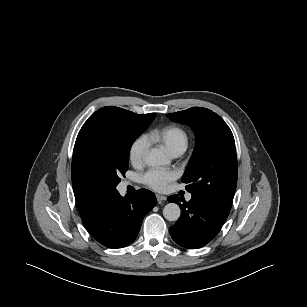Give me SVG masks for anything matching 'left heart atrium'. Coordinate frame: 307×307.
I'll return each mask as SVG.
<instances>
[{
    "label": "left heart atrium",
    "mask_w": 307,
    "mask_h": 307,
    "mask_svg": "<svg viewBox=\"0 0 307 307\" xmlns=\"http://www.w3.org/2000/svg\"><path fill=\"white\" fill-rule=\"evenodd\" d=\"M176 177L177 174L173 171L153 168L143 174L142 181L152 189L163 191Z\"/></svg>",
    "instance_id": "left-heart-atrium-1"
}]
</instances>
